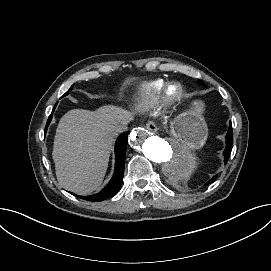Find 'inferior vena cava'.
Instances as JSON below:
<instances>
[{
  "label": "inferior vena cava",
  "instance_id": "obj_1",
  "mask_svg": "<svg viewBox=\"0 0 271 271\" xmlns=\"http://www.w3.org/2000/svg\"><path fill=\"white\" fill-rule=\"evenodd\" d=\"M126 130H127V127L125 126V124H122L117 128L116 132L121 133V132H124Z\"/></svg>",
  "mask_w": 271,
  "mask_h": 271
}]
</instances>
